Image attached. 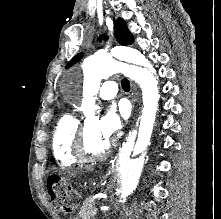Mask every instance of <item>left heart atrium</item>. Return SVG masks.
Segmentation results:
<instances>
[{
	"label": "left heart atrium",
	"instance_id": "left-heart-atrium-1",
	"mask_svg": "<svg viewBox=\"0 0 221 219\" xmlns=\"http://www.w3.org/2000/svg\"><path fill=\"white\" fill-rule=\"evenodd\" d=\"M121 119L114 109H109L98 121V131L106 140H110L121 128Z\"/></svg>",
	"mask_w": 221,
	"mask_h": 219
}]
</instances>
